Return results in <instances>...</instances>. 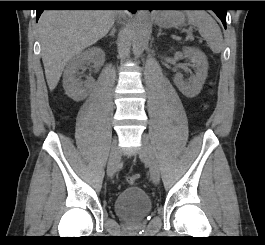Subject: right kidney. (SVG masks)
Masks as SVG:
<instances>
[{
	"instance_id": "1",
	"label": "right kidney",
	"mask_w": 265,
	"mask_h": 245,
	"mask_svg": "<svg viewBox=\"0 0 265 245\" xmlns=\"http://www.w3.org/2000/svg\"><path fill=\"white\" fill-rule=\"evenodd\" d=\"M105 60V53L97 47L89 48L76 54L66 65L63 74V87L66 94L75 101H81L88 95V87L83 86L77 78L79 69L87 63L101 65Z\"/></svg>"
}]
</instances>
